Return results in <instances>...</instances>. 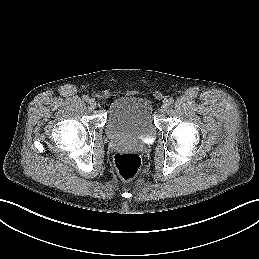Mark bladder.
I'll return each mask as SVG.
<instances>
[{"label": "bladder", "mask_w": 259, "mask_h": 259, "mask_svg": "<svg viewBox=\"0 0 259 259\" xmlns=\"http://www.w3.org/2000/svg\"><path fill=\"white\" fill-rule=\"evenodd\" d=\"M153 104L138 95H124L112 101L105 123L106 135L111 139L135 138L152 140L156 135Z\"/></svg>", "instance_id": "1"}]
</instances>
